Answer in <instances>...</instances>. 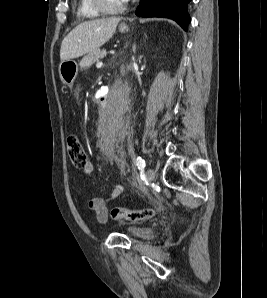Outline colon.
I'll return each instance as SVG.
<instances>
[{"instance_id":"obj_1","label":"colon","mask_w":267,"mask_h":298,"mask_svg":"<svg viewBox=\"0 0 267 298\" xmlns=\"http://www.w3.org/2000/svg\"><path fill=\"white\" fill-rule=\"evenodd\" d=\"M67 152L74 166L78 168L86 167L87 153L80 138L77 135H70L68 137ZM110 215L113 220H127L131 222H138L151 219L155 215V211L151 208L131 210L116 207L111 210Z\"/></svg>"}]
</instances>
